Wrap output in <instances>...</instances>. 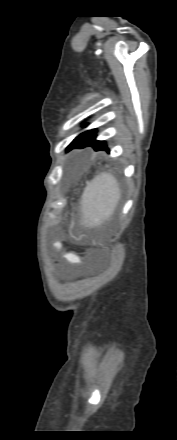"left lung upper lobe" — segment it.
I'll return each instance as SVG.
<instances>
[{
  "mask_svg": "<svg viewBox=\"0 0 177 440\" xmlns=\"http://www.w3.org/2000/svg\"><path fill=\"white\" fill-rule=\"evenodd\" d=\"M94 131H96V130L93 129V130L85 131V132L81 133L80 135H78V136H77V137L71 142V144L67 147V151L73 149L79 141H81L83 138H85V137L88 136L89 134L93 133Z\"/></svg>",
  "mask_w": 177,
  "mask_h": 440,
  "instance_id": "1",
  "label": "left lung upper lobe"
}]
</instances>
